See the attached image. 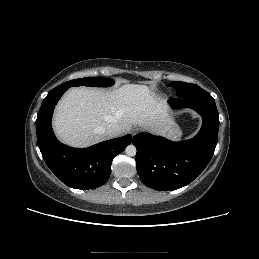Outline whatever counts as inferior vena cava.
Here are the masks:
<instances>
[{"mask_svg":"<svg viewBox=\"0 0 259 259\" xmlns=\"http://www.w3.org/2000/svg\"><path fill=\"white\" fill-rule=\"evenodd\" d=\"M103 133L108 136V138H114L122 133V127L118 124H109Z\"/></svg>","mask_w":259,"mask_h":259,"instance_id":"obj_1","label":"inferior vena cava"}]
</instances>
